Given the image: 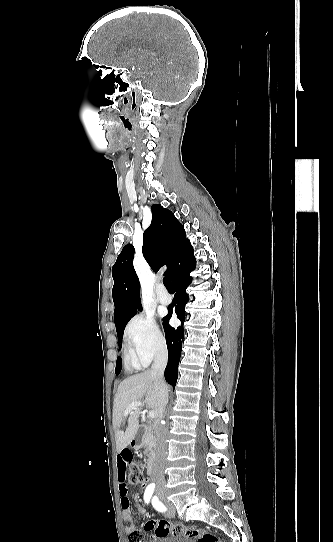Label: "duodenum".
<instances>
[{
	"instance_id": "duodenum-1",
	"label": "duodenum",
	"mask_w": 333,
	"mask_h": 542,
	"mask_svg": "<svg viewBox=\"0 0 333 542\" xmlns=\"http://www.w3.org/2000/svg\"><path fill=\"white\" fill-rule=\"evenodd\" d=\"M145 443V437L144 436H136V437H133L130 441V445L132 448H140L144 445ZM154 465H155V460L153 457H151L148 462H147V473L148 475H152L153 472H154Z\"/></svg>"
}]
</instances>
